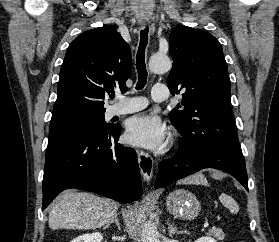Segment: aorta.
Here are the masks:
<instances>
[{"label":"aorta","mask_w":279,"mask_h":242,"mask_svg":"<svg viewBox=\"0 0 279 242\" xmlns=\"http://www.w3.org/2000/svg\"><path fill=\"white\" fill-rule=\"evenodd\" d=\"M172 63L167 55L156 53L149 59V69L153 73H165L171 69ZM157 227L156 224L147 220L142 228V242H156Z\"/></svg>","instance_id":"obj_1"}]
</instances>
